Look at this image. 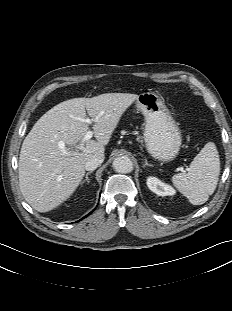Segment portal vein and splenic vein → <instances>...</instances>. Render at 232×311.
Wrapping results in <instances>:
<instances>
[{"mask_svg": "<svg viewBox=\"0 0 232 311\" xmlns=\"http://www.w3.org/2000/svg\"><path fill=\"white\" fill-rule=\"evenodd\" d=\"M100 117V115H98L94 120L93 119H85V122L88 124H91L93 121H97L98 118ZM93 136V132L91 130L87 131V133L85 134L83 140H82V144L83 145L86 141L90 140ZM59 147L64 150L65 149V144L63 141L59 142Z\"/></svg>", "mask_w": 232, "mask_h": 311, "instance_id": "1", "label": "portal vein and splenic vein"}]
</instances>
